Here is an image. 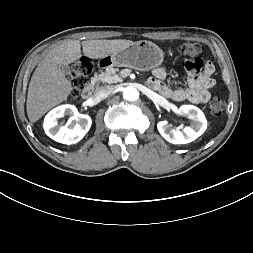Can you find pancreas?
<instances>
[{"instance_id": "cf45deb5", "label": "pancreas", "mask_w": 253, "mask_h": 253, "mask_svg": "<svg viewBox=\"0 0 253 253\" xmlns=\"http://www.w3.org/2000/svg\"><path fill=\"white\" fill-rule=\"evenodd\" d=\"M118 69L109 68L105 72H101L99 75L96 76V80L102 83H116L122 81V78L117 75Z\"/></svg>"}]
</instances>
